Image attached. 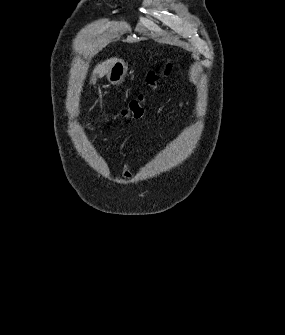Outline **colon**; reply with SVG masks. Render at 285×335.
<instances>
[{"label":"colon","instance_id":"1","mask_svg":"<svg viewBox=\"0 0 285 335\" xmlns=\"http://www.w3.org/2000/svg\"><path fill=\"white\" fill-rule=\"evenodd\" d=\"M171 72V64L166 63L161 72L150 70L147 74V83L150 86H155L162 76H167ZM145 111V97L143 94L138 95L132 99L129 104L122 109L120 115L125 119H137L140 118ZM108 117L106 120H109Z\"/></svg>","mask_w":285,"mask_h":335}]
</instances>
